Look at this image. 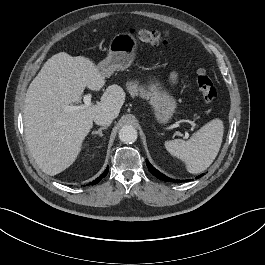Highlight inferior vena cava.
<instances>
[{
  "mask_svg": "<svg viewBox=\"0 0 265 265\" xmlns=\"http://www.w3.org/2000/svg\"><path fill=\"white\" fill-rule=\"evenodd\" d=\"M114 119V115L110 112H100L94 117L97 125H110Z\"/></svg>",
  "mask_w": 265,
  "mask_h": 265,
  "instance_id": "1",
  "label": "inferior vena cava"
}]
</instances>
